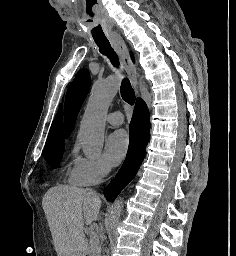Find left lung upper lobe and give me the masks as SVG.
Wrapping results in <instances>:
<instances>
[{
    "instance_id": "obj_1",
    "label": "left lung upper lobe",
    "mask_w": 236,
    "mask_h": 256,
    "mask_svg": "<svg viewBox=\"0 0 236 256\" xmlns=\"http://www.w3.org/2000/svg\"><path fill=\"white\" fill-rule=\"evenodd\" d=\"M90 88V74L87 69H82L68 88L64 119L66 137H68L75 125L78 112L84 102Z\"/></svg>"
}]
</instances>
